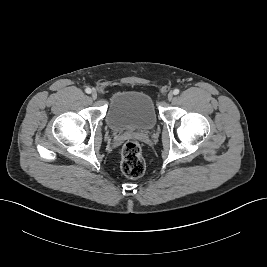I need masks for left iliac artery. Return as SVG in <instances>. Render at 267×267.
I'll return each instance as SVG.
<instances>
[{"label": "left iliac artery", "mask_w": 267, "mask_h": 267, "mask_svg": "<svg viewBox=\"0 0 267 267\" xmlns=\"http://www.w3.org/2000/svg\"><path fill=\"white\" fill-rule=\"evenodd\" d=\"M179 92H180L179 89H174L173 94L177 95V94H179Z\"/></svg>", "instance_id": "1"}]
</instances>
